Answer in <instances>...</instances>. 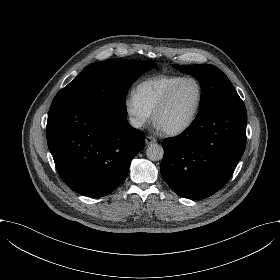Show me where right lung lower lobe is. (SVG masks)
Listing matches in <instances>:
<instances>
[{
	"label": "right lung lower lobe",
	"instance_id": "98d812e1",
	"mask_svg": "<svg viewBox=\"0 0 280 280\" xmlns=\"http://www.w3.org/2000/svg\"><path fill=\"white\" fill-rule=\"evenodd\" d=\"M46 135L62 180L89 197L110 194L145 144L144 133L132 128L127 117L69 98L52 101Z\"/></svg>",
	"mask_w": 280,
	"mask_h": 280
}]
</instances>
